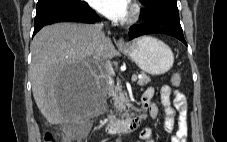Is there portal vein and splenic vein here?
<instances>
[{
    "label": "portal vein and splenic vein",
    "instance_id": "1",
    "mask_svg": "<svg viewBox=\"0 0 227 142\" xmlns=\"http://www.w3.org/2000/svg\"><path fill=\"white\" fill-rule=\"evenodd\" d=\"M132 82H135L137 80V75H133L132 78H131Z\"/></svg>",
    "mask_w": 227,
    "mask_h": 142
}]
</instances>
